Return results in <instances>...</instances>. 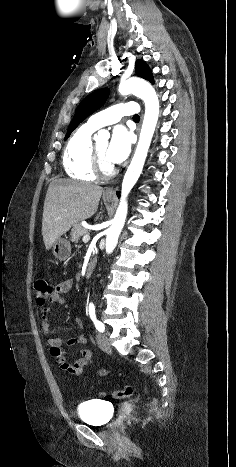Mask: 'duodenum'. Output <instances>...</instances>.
<instances>
[{"label": "duodenum", "instance_id": "1", "mask_svg": "<svg viewBox=\"0 0 236 467\" xmlns=\"http://www.w3.org/2000/svg\"><path fill=\"white\" fill-rule=\"evenodd\" d=\"M94 269H95V263L94 261H90L85 268V276L86 277L91 276Z\"/></svg>", "mask_w": 236, "mask_h": 467}]
</instances>
